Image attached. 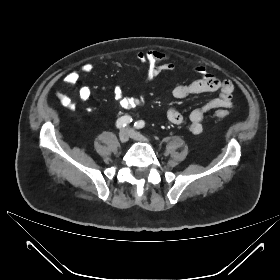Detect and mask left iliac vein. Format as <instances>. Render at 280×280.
Wrapping results in <instances>:
<instances>
[{
    "label": "left iliac vein",
    "mask_w": 280,
    "mask_h": 280,
    "mask_svg": "<svg viewBox=\"0 0 280 280\" xmlns=\"http://www.w3.org/2000/svg\"><path fill=\"white\" fill-rule=\"evenodd\" d=\"M130 137L137 141L146 142V143L149 142L147 138L142 136L140 133L135 132L134 130H130Z\"/></svg>",
    "instance_id": "left-iliac-vein-1"
}]
</instances>
